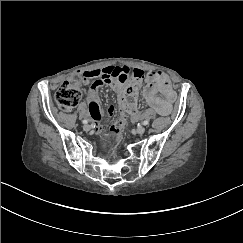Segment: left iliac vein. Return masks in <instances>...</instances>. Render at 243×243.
I'll list each match as a JSON object with an SVG mask.
<instances>
[{"label":"left iliac vein","instance_id":"obj_1","mask_svg":"<svg viewBox=\"0 0 243 243\" xmlns=\"http://www.w3.org/2000/svg\"><path fill=\"white\" fill-rule=\"evenodd\" d=\"M145 131H146V128L142 127V126L136 129V132L138 134H143V133H145Z\"/></svg>","mask_w":243,"mask_h":243}]
</instances>
